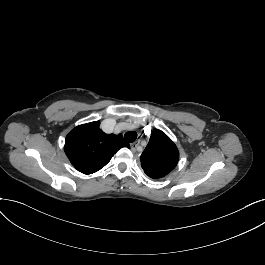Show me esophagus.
Instances as JSON below:
<instances>
[{"label": "esophagus", "mask_w": 265, "mask_h": 265, "mask_svg": "<svg viewBox=\"0 0 265 265\" xmlns=\"http://www.w3.org/2000/svg\"><path fill=\"white\" fill-rule=\"evenodd\" d=\"M139 144H140V140H136L135 142H133L132 144H131V150L133 151V152H136V150H137V147L139 146Z\"/></svg>", "instance_id": "esophagus-1"}]
</instances>
